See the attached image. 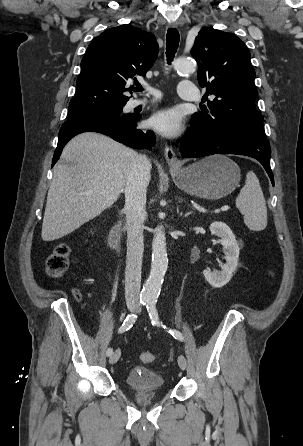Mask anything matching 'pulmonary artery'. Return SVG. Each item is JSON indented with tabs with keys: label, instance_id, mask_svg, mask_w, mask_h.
<instances>
[{
	"label": "pulmonary artery",
	"instance_id": "obj_1",
	"mask_svg": "<svg viewBox=\"0 0 303 446\" xmlns=\"http://www.w3.org/2000/svg\"><path fill=\"white\" fill-rule=\"evenodd\" d=\"M150 91L157 94V92L149 88ZM179 96L184 100L195 101L198 99V88L190 81L183 80L179 83L178 87ZM148 101L145 100H134L132 101V106H138L141 104H146Z\"/></svg>",
	"mask_w": 303,
	"mask_h": 446
}]
</instances>
